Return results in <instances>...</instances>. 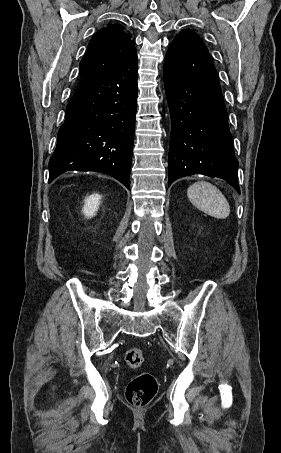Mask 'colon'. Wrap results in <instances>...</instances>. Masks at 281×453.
<instances>
[{
  "instance_id": "colon-1",
  "label": "colon",
  "mask_w": 281,
  "mask_h": 453,
  "mask_svg": "<svg viewBox=\"0 0 281 453\" xmlns=\"http://www.w3.org/2000/svg\"><path fill=\"white\" fill-rule=\"evenodd\" d=\"M123 361L131 368H141L145 364V357L140 349H131L124 353ZM158 390L157 379L150 373L132 375L126 388V399L135 407L147 405L155 397Z\"/></svg>"
}]
</instances>
